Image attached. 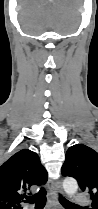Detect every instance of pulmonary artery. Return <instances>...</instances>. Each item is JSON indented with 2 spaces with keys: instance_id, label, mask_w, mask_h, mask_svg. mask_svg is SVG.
<instances>
[{
  "instance_id": "1",
  "label": "pulmonary artery",
  "mask_w": 98,
  "mask_h": 209,
  "mask_svg": "<svg viewBox=\"0 0 98 209\" xmlns=\"http://www.w3.org/2000/svg\"><path fill=\"white\" fill-rule=\"evenodd\" d=\"M74 200H75V203L78 204V205L84 206V205L89 204L88 199L86 197L75 195Z\"/></svg>"
}]
</instances>
